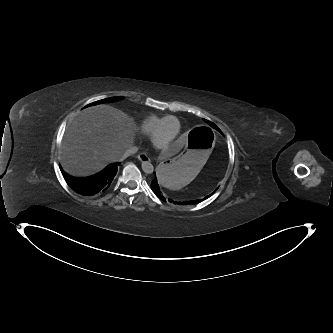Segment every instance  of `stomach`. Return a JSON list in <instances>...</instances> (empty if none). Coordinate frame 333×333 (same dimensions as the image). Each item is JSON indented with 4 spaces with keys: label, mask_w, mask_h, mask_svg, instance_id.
I'll return each instance as SVG.
<instances>
[{
    "label": "stomach",
    "mask_w": 333,
    "mask_h": 333,
    "mask_svg": "<svg viewBox=\"0 0 333 333\" xmlns=\"http://www.w3.org/2000/svg\"><path fill=\"white\" fill-rule=\"evenodd\" d=\"M215 143L216 137L211 127L196 126L187 151L172 161L158 163L152 171L153 181L166 190L186 186L197 176Z\"/></svg>",
    "instance_id": "0dacf381"
}]
</instances>
